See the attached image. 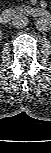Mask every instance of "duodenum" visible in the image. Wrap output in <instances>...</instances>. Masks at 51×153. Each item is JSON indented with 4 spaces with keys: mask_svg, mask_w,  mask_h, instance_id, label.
Returning <instances> with one entry per match:
<instances>
[{
    "mask_svg": "<svg viewBox=\"0 0 51 153\" xmlns=\"http://www.w3.org/2000/svg\"><path fill=\"white\" fill-rule=\"evenodd\" d=\"M28 16L31 18H44L49 17L48 10L42 7H33L26 10H16V9H5L1 12L0 20L3 24L9 23L16 16Z\"/></svg>",
    "mask_w": 51,
    "mask_h": 153,
    "instance_id": "duodenum-1",
    "label": "duodenum"
}]
</instances>
